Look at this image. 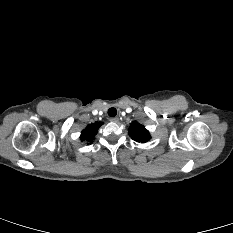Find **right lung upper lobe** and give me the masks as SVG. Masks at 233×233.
Wrapping results in <instances>:
<instances>
[{
	"label": "right lung upper lobe",
	"mask_w": 233,
	"mask_h": 233,
	"mask_svg": "<svg viewBox=\"0 0 233 233\" xmlns=\"http://www.w3.org/2000/svg\"><path fill=\"white\" fill-rule=\"evenodd\" d=\"M102 125L101 122H95L94 124H89L81 133L80 139L85 142L91 143L94 139V136L97 133V130Z\"/></svg>",
	"instance_id": "right-lung-upper-lobe-1"
}]
</instances>
